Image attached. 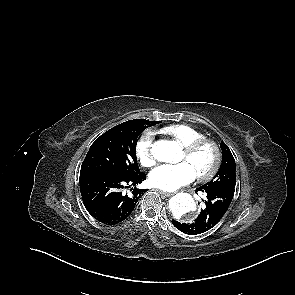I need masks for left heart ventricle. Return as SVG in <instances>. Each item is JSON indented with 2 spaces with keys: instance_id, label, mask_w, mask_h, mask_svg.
Segmentation results:
<instances>
[{
  "instance_id": "left-heart-ventricle-1",
  "label": "left heart ventricle",
  "mask_w": 295,
  "mask_h": 295,
  "mask_svg": "<svg viewBox=\"0 0 295 295\" xmlns=\"http://www.w3.org/2000/svg\"><path fill=\"white\" fill-rule=\"evenodd\" d=\"M180 161L187 162L195 171L196 175L206 172L213 164L214 152L208 145L200 148L194 155L187 156L182 152Z\"/></svg>"
}]
</instances>
